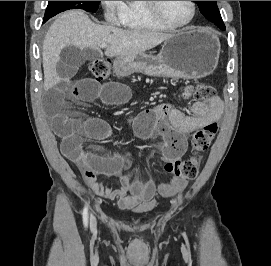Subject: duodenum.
Wrapping results in <instances>:
<instances>
[{
    "label": "duodenum",
    "mask_w": 271,
    "mask_h": 266,
    "mask_svg": "<svg viewBox=\"0 0 271 266\" xmlns=\"http://www.w3.org/2000/svg\"><path fill=\"white\" fill-rule=\"evenodd\" d=\"M123 67H124V62L119 60L115 65V73L118 75L121 74L123 71Z\"/></svg>",
    "instance_id": "obj_1"
}]
</instances>
